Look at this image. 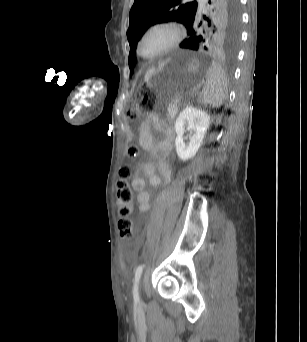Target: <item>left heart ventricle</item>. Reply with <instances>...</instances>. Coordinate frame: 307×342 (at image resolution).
I'll return each mask as SVG.
<instances>
[{
	"mask_svg": "<svg viewBox=\"0 0 307 342\" xmlns=\"http://www.w3.org/2000/svg\"><path fill=\"white\" fill-rule=\"evenodd\" d=\"M173 37L170 28L156 26L150 29L142 41L141 49L144 56L150 57L166 47Z\"/></svg>",
	"mask_w": 307,
	"mask_h": 342,
	"instance_id": "1",
	"label": "left heart ventricle"
}]
</instances>
